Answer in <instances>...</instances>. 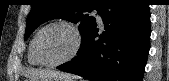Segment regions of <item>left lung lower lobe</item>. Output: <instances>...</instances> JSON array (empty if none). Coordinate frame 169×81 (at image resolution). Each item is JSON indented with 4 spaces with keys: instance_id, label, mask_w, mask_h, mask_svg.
Masks as SVG:
<instances>
[{
    "instance_id": "0a47b994",
    "label": "left lung lower lobe",
    "mask_w": 169,
    "mask_h": 81,
    "mask_svg": "<svg viewBox=\"0 0 169 81\" xmlns=\"http://www.w3.org/2000/svg\"><path fill=\"white\" fill-rule=\"evenodd\" d=\"M99 14L106 31L98 35L95 23L77 56L57 68L91 81H142L150 49L149 5L105 0Z\"/></svg>"
}]
</instances>
